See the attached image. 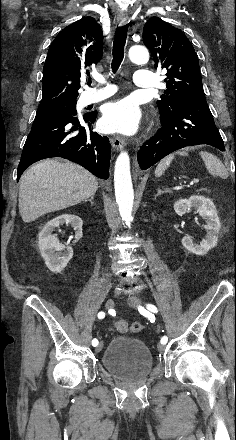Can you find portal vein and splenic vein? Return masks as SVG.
<instances>
[{"label": "portal vein and splenic vein", "instance_id": "1", "mask_svg": "<svg viewBox=\"0 0 236 440\" xmlns=\"http://www.w3.org/2000/svg\"><path fill=\"white\" fill-rule=\"evenodd\" d=\"M193 182H194V183H198V182H199V179H194Z\"/></svg>", "mask_w": 236, "mask_h": 440}]
</instances>
